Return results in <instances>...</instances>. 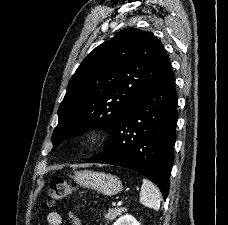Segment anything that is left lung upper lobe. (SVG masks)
<instances>
[{
  "label": "left lung upper lobe",
  "mask_w": 228,
  "mask_h": 225,
  "mask_svg": "<svg viewBox=\"0 0 228 225\" xmlns=\"http://www.w3.org/2000/svg\"><path fill=\"white\" fill-rule=\"evenodd\" d=\"M169 61L153 33L135 28L121 30L96 47L68 83L52 135L54 149L64 138L84 130L110 132Z\"/></svg>",
  "instance_id": "1"
}]
</instances>
